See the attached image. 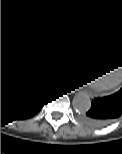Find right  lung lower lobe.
<instances>
[{"label": "right lung lower lobe", "mask_w": 122, "mask_h": 154, "mask_svg": "<svg viewBox=\"0 0 122 154\" xmlns=\"http://www.w3.org/2000/svg\"><path fill=\"white\" fill-rule=\"evenodd\" d=\"M52 56L51 49H45L41 64L17 77L1 78V119H28L46 104L48 90L58 84Z\"/></svg>", "instance_id": "98d812e1"}]
</instances>
